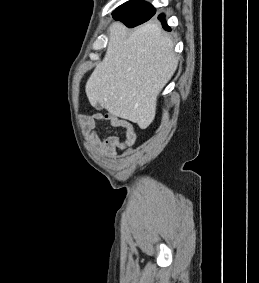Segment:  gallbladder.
<instances>
[{"mask_svg": "<svg viewBox=\"0 0 259 283\" xmlns=\"http://www.w3.org/2000/svg\"><path fill=\"white\" fill-rule=\"evenodd\" d=\"M95 109L96 110H102L103 107L99 103H97L96 106H95Z\"/></svg>", "mask_w": 259, "mask_h": 283, "instance_id": "1", "label": "gallbladder"}]
</instances>
